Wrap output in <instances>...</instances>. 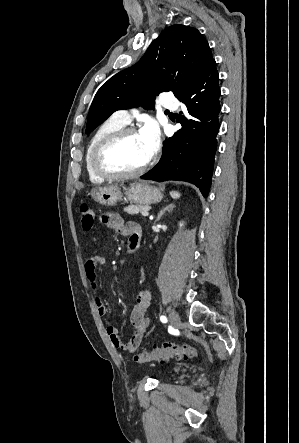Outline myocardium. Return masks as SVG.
Instances as JSON below:
<instances>
[{"label":"myocardium","mask_w":299,"mask_h":443,"mask_svg":"<svg viewBox=\"0 0 299 443\" xmlns=\"http://www.w3.org/2000/svg\"><path fill=\"white\" fill-rule=\"evenodd\" d=\"M138 131L133 127H122L106 137H104L95 147L92 154V167L96 174L108 180H124L133 178L144 173L151 165L152 159H148L142 166L131 171H115L111 169L105 162L106 152L123 138L137 134Z\"/></svg>","instance_id":"f54148a6"}]
</instances>
